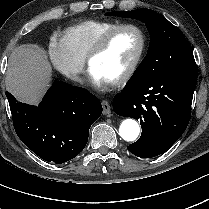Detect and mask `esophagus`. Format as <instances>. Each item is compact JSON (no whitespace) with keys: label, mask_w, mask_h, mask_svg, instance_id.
Instances as JSON below:
<instances>
[{"label":"esophagus","mask_w":209,"mask_h":209,"mask_svg":"<svg viewBox=\"0 0 209 209\" xmlns=\"http://www.w3.org/2000/svg\"><path fill=\"white\" fill-rule=\"evenodd\" d=\"M102 107H103V114L109 115L111 113V107L107 100L102 101Z\"/></svg>","instance_id":"1"}]
</instances>
